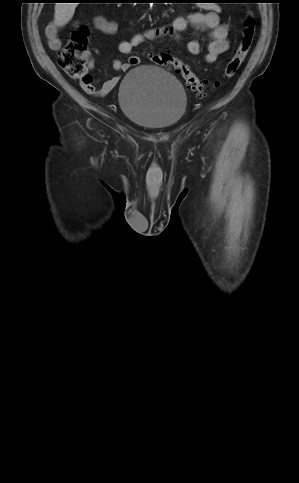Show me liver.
I'll list each match as a JSON object with an SVG mask.
<instances>
[{
    "instance_id": "obj_1",
    "label": "liver",
    "mask_w": 299,
    "mask_h": 483,
    "mask_svg": "<svg viewBox=\"0 0 299 483\" xmlns=\"http://www.w3.org/2000/svg\"><path fill=\"white\" fill-rule=\"evenodd\" d=\"M77 3H56L55 22L59 26L66 25L73 17Z\"/></svg>"
}]
</instances>
